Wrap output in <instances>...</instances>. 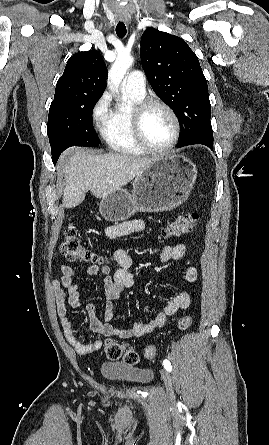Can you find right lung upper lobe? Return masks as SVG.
Masks as SVG:
<instances>
[{"label":"right lung upper lobe","instance_id":"obj_1","mask_svg":"<svg viewBox=\"0 0 269 445\" xmlns=\"http://www.w3.org/2000/svg\"><path fill=\"white\" fill-rule=\"evenodd\" d=\"M107 68L97 50L79 52L69 58L59 78L53 101L100 98L106 88Z\"/></svg>","mask_w":269,"mask_h":445}]
</instances>
